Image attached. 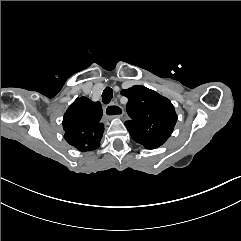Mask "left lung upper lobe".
Segmentation results:
<instances>
[{"label": "left lung upper lobe", "instance_id": "5c2ea615", "mask_svg": "<svg viewBox=\"0 0 241 241\" xmlns=\"http://www.w3.org/2000/svg\"><path fill=\"white\" fill-rule=\"evenodd\" d=\"M128 98L125 125L134 141L146 149L162 145L170 137L177 121L175 109L169 99L144 86L122 90Z\"/></svg>", "mask_w": 241, "mask_h": 241}]
</instances>
